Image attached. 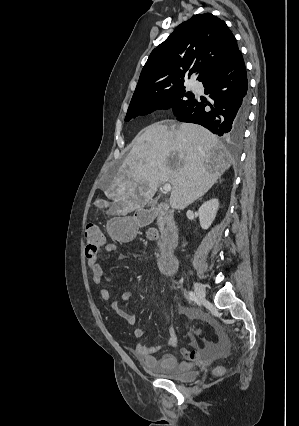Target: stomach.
Here are the masks:
<instances>
[{
	"instance_id": "1",
	"label": "stomach",
	"mask_w": 299,
	"mask_h": 426,
	"mask_svg": "<svg viewBox=\"0 0 299 426\" xmlns=\"http://www.w3.org/2000/svg\"><path fill=\"white\" fill-rule=\"evenodd\" d=\"M136 225L131 219L115 217L107 222L108 234L120 241H127L133 238Z\"/></svg>"
}]
</instances>
